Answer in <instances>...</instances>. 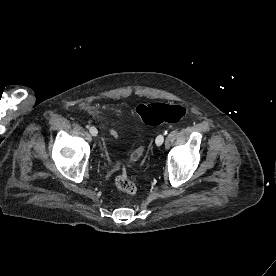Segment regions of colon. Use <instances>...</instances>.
Returning a JSON list of instances; mask_svg holds the SVG:
<instances>
[{"mask_svg":"<svg viewBox=\"0 0 276 276\" xmlns=\"http://www.w3.org/2000/svg\"><path fill=\"white\" fill-rule=\"evenodd\" d=\"M135 111L142 122L147 125L175 123L180 121L187 113L186 108L182 105L166 103L139 104ZM140 153L141 151L137 150L133 153V156L138 157ZM115 184L119 190L129 196H134L137 192L136 184L125 173H121L116 177Z\"/></svg>","mask_w":276,"mask_h":276,"instance_id":"5ec220e1","label":"colon"}]
</instances>
